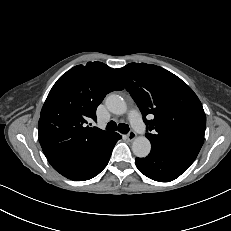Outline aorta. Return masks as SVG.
Masks as SVG:
<instances>
[{"label": "aorta", "mask_w": 231, "mask_h": 231, "mask_svg": "<svg viewBox=\"0 0 231 231\" xmlns=\"http://www.w3.org/2000/svg\"><path fill=\"white\" fill-rule=\"evenodd\" d=\"M105 104L108 110L116 115H122L127 111L126 102L119 95H109L106 98ZM132 151L135 156L139 158H144L148 156L151 151V143L146 137L139 136L135 138V140L132 143Z\"/></svg>", "instance_id": "obj_1"}]
</instances>
